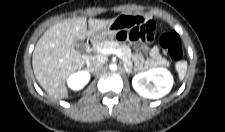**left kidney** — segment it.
<instances>
[{
    "label": "left kidney",
    "mask_w": 225,
    "mask_h": 132,
    "mask_svg": "<svg viewBox=\"0 0 225 132\" xmlns=\"http://www.w3.org/2000/svg\"><path fill=\"white\" fill-rule=\"evenodd\" d=\"M173 85V77L165 68H155L138 73L132 79L135 91L144 98L158 99L168 94Z\"/></svg>",
    "instance_id": "obj_1"
}]
</instances>
